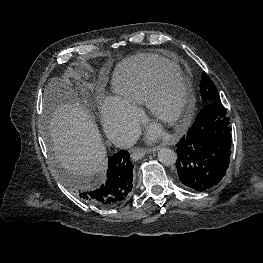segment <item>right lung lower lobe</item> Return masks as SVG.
Instances as JSON below:
<instances>
[{"label": "right lung lower lobe", "instance_id": "right-lung-lower-lobe-1", "mask_svg": "<svg viewBox=\"0 0 263 263\" xmlns=\"http://www.w3.org/2000/svg\"><path fill=\"white\" fill-rule=\"evenodd\" d=\"M107 180L96 190L81 189L78 194L87 203L113 207L126 200L132 191L133 164L130 154L121 150L108 159Z\"/></svg>", "mask_w": 263, "mask_h": 263}]
</instances>
